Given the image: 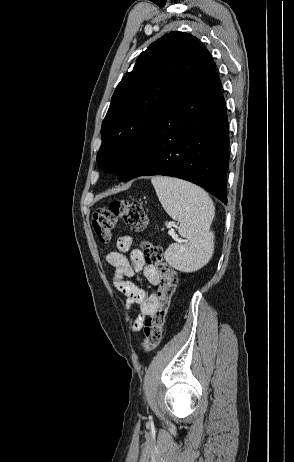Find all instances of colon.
Listing matches in <instances>:
<instances>
[{"instance_id": "colon-1", "label": "colon", "mask_w": 294, "mask_h": 462, "mask_svg": "<svg viewBox=\"0 0 294 462\" xmlns=\"http://www.w3.org/2000/svg\"><path fill=\"white\" fill-rule=\"evenodd\" d=\"M118 221L133 231H142L148 224V216L141 203L130 200L112 202L99 209L92 225L101 244H108ZM144 262L155 268L158 277L157 303L153 313L145 320V338L141 344L144 351L156 349L162 341L163 329L173 296L177 288L176 271L164 260L162 249L148 241L142 243Z\"/></svg>"}]
</instances>
